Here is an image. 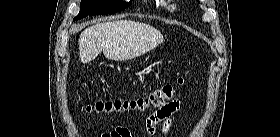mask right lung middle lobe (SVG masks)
I'll use <instances>...</instances> for the list:
<instances>
[{
	"label": "right lung middle lobe",
	"mask_w": 280,
	"mask_h": 137,
	"mask_svg": "<svg viewBox=\"0 0 280 137\" xmlns=\"http://www.w3.org/2000/svg\"><path fill=\"white\" fill-rule=\"evenodd\" d=\"M127 6L128 3L123 0H82L80 12L74 20H79L88 15L112 14L125 9Z\"/></svg>",
	"instance_id": "1"
}]
</instances>
